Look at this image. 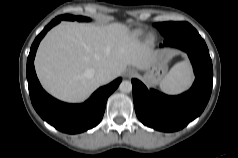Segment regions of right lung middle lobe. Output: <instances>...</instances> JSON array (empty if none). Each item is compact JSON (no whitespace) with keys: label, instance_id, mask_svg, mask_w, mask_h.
Listing matches in <instances>:
<instances>
[{"label":"right lung middle lobe","instance_id":"dd1d6c3e","mask_svg":"<svg viewBox=\"0 0 238 158\" xmlns=\"http://www.w3.org/2000/svg\"><path fill=\"white\" fill-rule=\"evenodd\" d=\"M61 19L78 20V21H90L89 18H85V17H82V16H73V15H62Z\"/></svg>","mask_w":238,"mask_h":158}]
</instances>
